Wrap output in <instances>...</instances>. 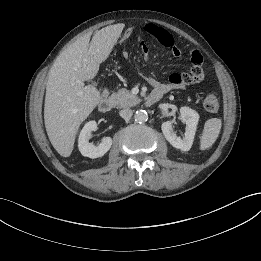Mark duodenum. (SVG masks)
Masks as SVG:
<instances>
[{"label": "duodenum", "instance_id": "obj_1", "mask_svg": "<svg viewBox=\"0 0 261 261\" xmlns=\"http://www.w3.org/2000/svg\"><path fill=\"white\" fill-rule=\"evenodd\" d=\"M162 97V93L158 91H152L146 98L145 104L147 106H152L156 104L160 98ZM113 108V100L108 96V91L105 89L103 92V97L99 103V110L103 113L109 112Z\"/></svg>", "mask_w": 261, "mask_h": 261}]
</instances>
